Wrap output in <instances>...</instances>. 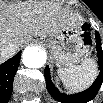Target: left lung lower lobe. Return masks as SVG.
I'll use <instances>...</instances> for the list:
<instances>
[{
	"mask_svg": "<svg viewBox=\"0 0 103 103\" xmlns=\"http://www.w3.org/2000/svg\"><path fill=\"white\" fill-rule=\"evenodd\" d=\"M96 48L98 54V64L100 66L99 69L101 71L96 81L92 84V86L82 93L69 96L63 93L60 94L58 89L52 84L50 80L49 68L48 67L45 68V78L47 82V88L49 93L54 99L63 103H83V102L86 103L92 100L96 96L103 82V70H102L103 52L101 49V41L97 33H96Z\"/></svg>",
	"mask_w": 103,
	"mask_h": 103,
	"instance_id": "obj_1",
	"label": "left lung lower lobe"
}]
</instances>
